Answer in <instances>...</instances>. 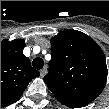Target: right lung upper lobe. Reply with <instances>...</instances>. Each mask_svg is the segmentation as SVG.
I'll return each instance as SVG.
<instances>
[{
	"instance_id": "1",
	"label": "right lung upper lobe",
	"mask_w": 109,
	"mask_h": 109,
	"mask_svg": "<svg viewBox=\"0 0 109 109\" xmlns=\"http://www.w3.org/2000/svg\"><path fill=\"white\" fill-rule=\"evenodd\" d=\"M25 41L14 39L1 41V106L17 101L29 82L40 75L24 56Z\"/></svg>"
}]
</instances>
